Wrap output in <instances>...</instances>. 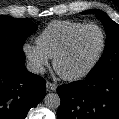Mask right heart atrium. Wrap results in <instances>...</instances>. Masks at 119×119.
<instances>
[{
	"mask_svg": "<svg viewBox=\"0 0 119 119\" xmlns=\"http://www.w3.org/2000/svg\"><path fill=\"white\" fill-rule=\"evenodd\" d=\"M23 52L31 69L36 73L42 72L49 64V57L39 48L38 45L25 43L23 45Z\"/></svg>",
	"mask_w": 119,
	"mask_h": 119,
	"instance_id": "right-heart-atrium-1",
	"label": "right heart atrium"
}]
</instances>
